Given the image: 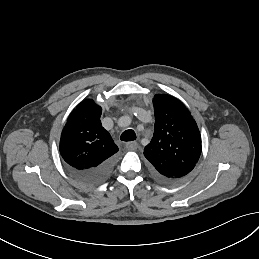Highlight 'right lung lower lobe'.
<instances>
[{"instance_id":"right-lung-lower-lobe-1","label":"right lung lower lobe","mask_w":259,"mask_h":259,"mask_svg":"<svg viewBox=\"0 0 259 259\" xmlns=\"http://www.w3.org/2000/svg\"><path fill=\"white\" fill-rule=\"evenodd\" d=\"M115 166V158L112 157L97 167L78 170L68 166V171L73 177L85 184H96L104 180L113 170Z\"/></svg>"}]
</instances>
